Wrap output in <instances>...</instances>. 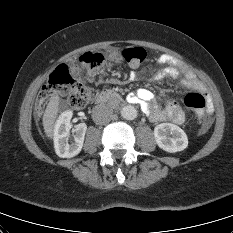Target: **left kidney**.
Returning a JSON list of instances; mask_svg holds the SVG:
<instances>
[{"mask_svg":"<svg viewBox=\"0 0 233 233\" xmlns=\"http://www.w3.org/2000/svg\"><path fill=\"white\" fill-rule=\"evenodd\" d=\"M154 137L157 145L166 152L175 153L188 146L186 133L172 123H162L154 128Z\"/></svg>","mask_w":233,"mask_h":233,"instance_id":"1","label":"left kidney"}]
</instances>
